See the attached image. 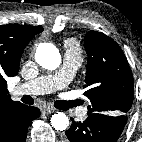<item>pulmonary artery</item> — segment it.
I'll return each mask as SVG.
<instances>
[{
    "label": "pulmonary artery",
    "mask_w": 142,
    "mask_h": 142,
    "mask_svg": "<svg viewBox=\"0 0 142 142\" xmlns=\"http://www.w3.org/2000/svg\"><path fill=\"white\" fill-rule=\"evenodd\" d=\"M80 64L81 58L77 54L67 51L63 64L57 72L18 84L13 89V95H40L60 90L72 80ZM86 112L85 107L81 108L79 116L85 117Z\"/></svg>",
    "instance_id": "obj_1"
}]
</instances>
